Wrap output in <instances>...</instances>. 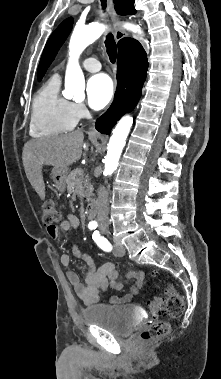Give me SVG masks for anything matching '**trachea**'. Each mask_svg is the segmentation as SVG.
Segmentation results:
<instances>
[{
	"mask_svg": "<svg viewBox=\"0 0 221 379\" xmlns=\"http://www.w3.org/2000/svg\"><path fill=\"white\" fill-rule=\"evenodd\" d=\"M101 4H102L103 9H105L106 8V0H101ZM105 45H106L107 54L109 56L111 63H115L116 57H117V46H116L114 37L111 33H109L106 36Z\"/></svg>",
	"mask_w": 221,
	"mask_h": 379,
	"instance_id": "1",
	"label": "trachea"
}]
</instances>
